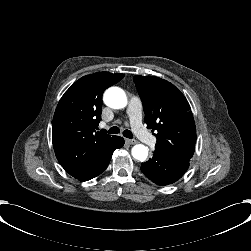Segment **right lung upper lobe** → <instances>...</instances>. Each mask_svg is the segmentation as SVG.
Wrapping results in <instances>:
<instances>
[{
	"label": "right lung upper lobe",
	"mask_w": 251,
	"mask_h": 251,
	"mask_svg": "<svg viewBox=\"0 0 251 251\" xmlns=\"http://www.w3.org/2000/svg\"><path fill=\"white\" fill-rule=\"evenodd\" d=\"M124 74L98 72L76 81L60 99L52 123L56 157L67 173L80 179L113 152L119 136L96 132L101 120L102 94Z\"/></svg>",
	"instance_id": "obj_1"
}]
</instances>
